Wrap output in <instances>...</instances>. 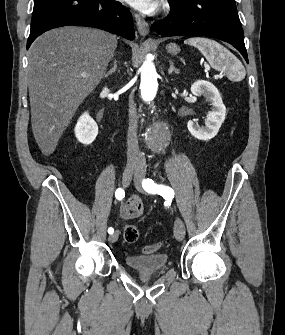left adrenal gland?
Returning <instances> with one entry per match:
<instances>
[{"label": "left adrenal gland", "mask_w": 285, "mask_h": 335, "mask_svg": "<svg viewBox=\"0 0 285 335\" xmlns=\"http://www.w3.org/2000/svg\"><path fill=\"white\" fill-rule=\"evenodd\" d=\"M169 64H170V68L168 70V74H172V72H175V74H179L180 70H177V68H175L172 60H169Z\"/></svg>", "instance_id": "left-adrenal-gland-1"}]
</instances>
